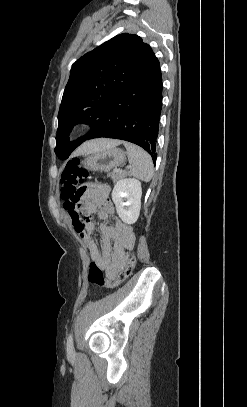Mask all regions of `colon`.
I'll use <instances>...</instances> for the list:
<instances>
[{"label": "colon", "mask_w": 247, "mask_h": 407, "mask_svg": "<svg viewBox=\"0 0 247 407\" xmlns=\"http://www.w3.org/2000/svg\"><path fill=\"white\" fill-rule=\"evenodd\" d=\"M87 178L88 172L81 166L79 159L75 158L68 161L62 172L61 197L64 200H69L73 204L79 203L85 191L84 183ZM135 262L134 255H131L124 270L117 278L111 280L104 275L99 265L93 261L88 267V280L90 283L99 287L115 288L129 278L135 266Z\"/></svg>", "instance_id": "5ec220e1"}]
</instances>
